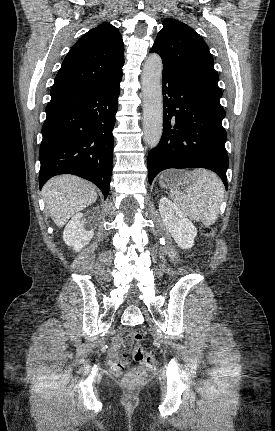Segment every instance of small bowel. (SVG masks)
Returning <instances> with one entry per match:
<instances>
[{
    "instance_id": "obj_1",
    "label": "small bowel",
    "mask_w": 275,
    "mask_h": 431,
    "mask_svg": "<svg viewBox=\"0 0 275 431\" xmlns=\"http://www.w3.org/2000/svg\"><path fill=\"white\" fill-rule=\"evenodd\" d=\"M125 340V347L127 351L131 350V344L126 340V338L122 335L116 336L112 342L108 352L109 364L113 370H117L118 365L122 363L124 366L128 364V358L126 356L123 357L121 361L118 360V351L123 341Z\"/></svg>"
}]
</instances>
